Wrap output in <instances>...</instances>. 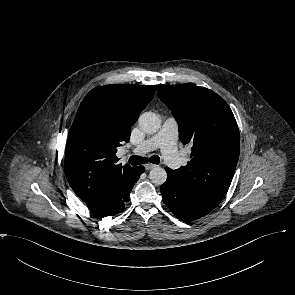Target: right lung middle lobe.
<instances>
[{
  "mask_svg": "<svg viewBox=\"0 0 295 295\" xmlns=\"http://www.w3.org/2000/svg\"><path fill=\"white\" fill-rule=\"evenodd\" d=\"M87 110L90 116L94 118H103L108 112L106 100L101 94L90 96L87 102Z\"/></svg>",
  "mask_w": 295,
  "mask_h": 295,
  "instance_id": "obj_1",
  "label": "right lung middle lobe"
}]
</instances>
